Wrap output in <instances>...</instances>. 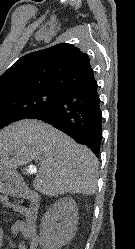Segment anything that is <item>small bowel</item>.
I'll list each match as a JSON object with an SVG mask.
<instances>
[{"instance_id": "c3829d8e", "label": "small bowel", "mask_w": 135, "mask_h": 249, "mask_svg": "<svg viewBox=\"0 0 135 249\" xmlns=\"http://www.w3.org/2000/svg\"><path fill=\"white\" fill-rule=\"evenodd\" d=\"M0 206L5 209L12 210L24 216V219H16L12 225V232L15 235H22L29 239V245L21 244L18 249H36L37 240V226L36 215L37 210L33 207H28L13 203L7 196L0 195ZM4 231L0 226V248L3 245Z\"/></svg>"}]
</instances>
